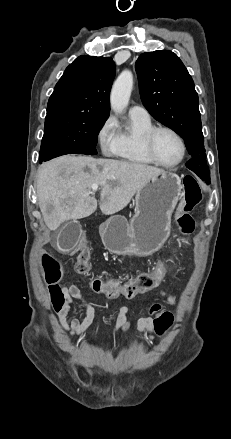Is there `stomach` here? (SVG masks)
<instances>
[{"label": "stomach", "instance_id": "stomach-1", "mask_svg": "<svg viewBox=\"0 0 231 439\" xmlns=\"http://www.w3.org/2000/svg\"><path fill=\"white\" fill-rule=\"evenodd\" d=\"M181 179L164 172L150 179L133 199L130 222L112 216L100 226L102 242L117 255L146 257L158 251L170 234L171 216L181 196Z\"/></svg>", "mask_w": 231, "mask_h": 439}]
</instances>
